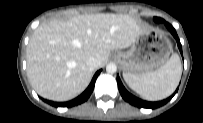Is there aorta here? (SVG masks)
<instances>
[{"instance_id":"1","label":"aorta","mask_w":203,"mask_h":123,"mask_svg":"<svg viewBox=\"0 0 203 123\" xmlns=\"http://www.w3.org/2000/svg\"><path fill=\"white\" fill-rule=\"evenodd\" d=\"M106 71L108 73H115L117 71V66L114 64V63H109L107 66H106Z\"/></svg>"}]
</instances>
